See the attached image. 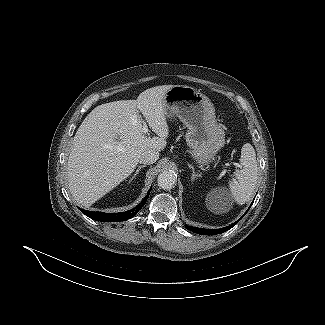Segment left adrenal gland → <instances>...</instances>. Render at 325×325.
<instances>
[{"mask_svg": "<svg viewBox=\"0 0 325 325\" xmlns=\"http://www.w3.org/2000/svg\"><path fill=\"white\" fill-rule=\"evenodd\" d=\"M188 167L192 170V176H191V180L194 181L195 178L201 177L200 174L195 172L194 167L191 164H188Z\"/></svg>", "mask_w": 325, "mask_h": 325, "instance_id": "obj_1", "label": "left adrenal gland"}]
</instances>
